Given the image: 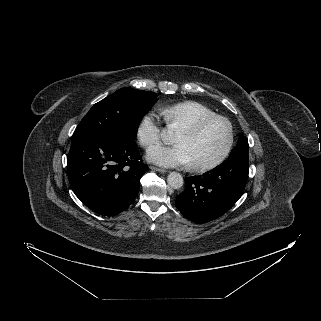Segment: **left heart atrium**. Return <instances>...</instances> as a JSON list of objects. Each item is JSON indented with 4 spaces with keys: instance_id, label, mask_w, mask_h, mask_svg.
I'll use <instances>...</instances> for the list:
<instances>
[{
    "instance_id": "obj_1",
    "label": "left heart atrium",
    "mask_w": 321,
    "mask_h": 321,
    "mask_svg": "<svg viewBox=\"0 0 321 321\" xmlns=\"http://www.w3.org/2000/svg\"><path fill=\"white\" fill-rule=\"evenodd\" d=\"M147 159L164 167L191 165V155L186 145L178 143L173 146L155 145L147 151Z\"/></svg>"
}]
</instances>
